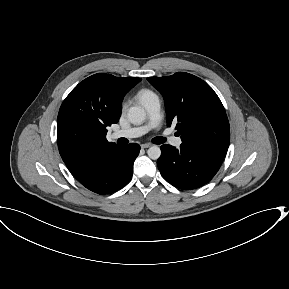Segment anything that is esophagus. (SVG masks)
<instances>
[{
  "label": "esophagus",
  "mask_w": 289,
  "mask_h": 289,
  "mask_svg": "<svg viewBox=\"0 0 289 289\" xmlns=\"http://www.w3.org/2000/svg\"><path fill=\"white\" fill-rule=\"evenodd\" d=\"M149 147H151V144L149 143H144L141 145V148H149Z\"/></svg>",
  "instance_id": "esophagus-1"
}]
</instances>
